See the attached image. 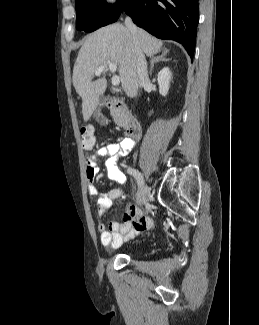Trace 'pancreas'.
I'll return each instance as SVG.
<instances>
[{"label": "pancreas", "mask_w": 259, "mask_h": 325, "mask_svg": "<svg viewBox=\"0 0 259 325\" xmlns=\"http://www.w3.org/2000/svg\"><path fill=\"white\" fill-rule=\"evenodd\" d=\"M110 114L115 122L120 127H126V117L122 113L120 108L113 107L110 111Z\"/></svg>", "instance_id": "obj_1"}]
</instances>
